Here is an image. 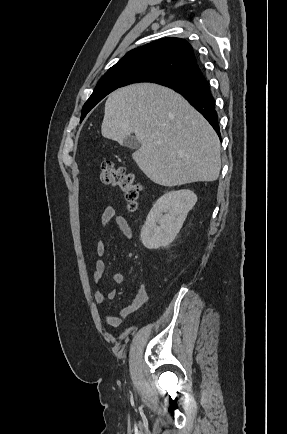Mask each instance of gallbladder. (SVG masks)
Returning a JSON list of instances; mask_svg holds the SVG:
<instances>
[{
    "mask_svg": "<svg viewBox=\"0 0 287 434\" xmlns=\"http://www.w3.org/2000/svg\"><path fill=\"white\" fill-rule=\"evenodd\" d=\"M124 145L130 149H138L140 147V142L136 139V137L130 135L125 138Z\"/></svg>",
    "mask_w": 287,
    "mask_h": 434,
    "instance_id": "bac80fb5",
    "label": "gallbladder"
}]
</instances>
